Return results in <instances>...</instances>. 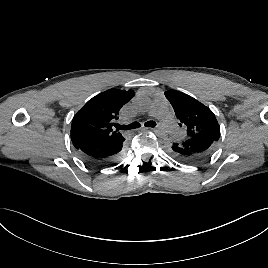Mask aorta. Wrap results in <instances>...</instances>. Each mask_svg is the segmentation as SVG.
Wrapping results in <instances>:
<instances>
[{
    "label": "aorta",
    "mask_w": 268,
    "mask_h": 268,
    "mask_svg": "<svg viewBox=\"0 0 268 268\" xmlns=\"http://www.w3.org/2000/svg\"><path fill=\"white\" fill-rule=\"evenodd\" d=\"M151 104V101L148 97L142 96L140 98H138L137 100V105L140 108H148ZM154 135L156 137V139L163 141L165 139H167L169 132L166 126L164 125H159L156 127Z\"/></svg>",
    "instance_id": "1"
}]
</instances>
